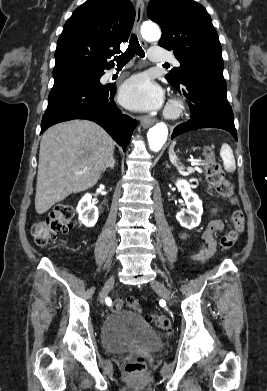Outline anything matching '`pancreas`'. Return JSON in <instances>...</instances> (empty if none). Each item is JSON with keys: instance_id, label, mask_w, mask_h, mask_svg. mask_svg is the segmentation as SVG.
Listing matches in <instances>:
<instances>
[{"instance_id": "1", "label": "pancreas", "mask_w": 267, "mask_h": 391, "mask_svg": "<svg viewBox=\"0 0 267 391\" xmlns=\"http://www.w3.org/2000/svg\"><path fill=\"white\" fill-rule=\"evenodd\" d=\"M187 170H188V173H194L195 172V169L192 168V167H188Z\"/></svg>"}]
</instances>
